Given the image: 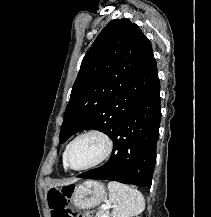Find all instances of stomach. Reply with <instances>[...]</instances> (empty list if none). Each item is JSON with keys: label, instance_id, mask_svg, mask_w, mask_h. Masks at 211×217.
I'll list each match as a JSON object with an SVG mask.
<instances>
[{"label": "stomach", "instance_id": "0dacf381", "mask_svg": "<svg viewBox=\"0 0 211 217\" xmlns=\"http://www.w3.org/2000/svg\"><path fill=\"white\" fill-rule=\"evenodd\" d=\"M72 202L76 208L89 209L99 205L105 198L106 189L102 182L88 180L72 187Z\"/></svg>", "mask_w": 211, "mask_h": 217}]
</instances>
